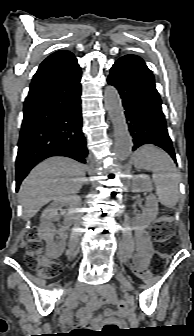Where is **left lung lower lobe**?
I'll use <instances>...</instances> for the list:
<instances>
[{"mask_svg": "<svg viewBox=\"0 0 194 336\" xmlns=\"http://www.w3.org/2000/svg\"><path fill=\"white\" fill-rule=\"evenodd\" d=\"M107 81L117 88L122 99L133 151L141 145L153 144L176 162L154 76L145 62L136 55L123 56L112 66Z\"/></svg>", "mask_w": 194, "mask_h": 336, "instance_id": "0a47b994", "label": "left lung lower lobe"}]
</instances>
